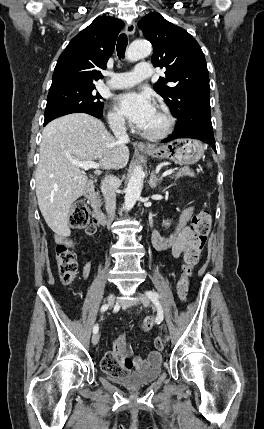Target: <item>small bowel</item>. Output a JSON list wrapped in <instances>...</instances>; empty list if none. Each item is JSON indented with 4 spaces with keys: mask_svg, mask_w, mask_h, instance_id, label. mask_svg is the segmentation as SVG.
<instances>
[{
    "mask_svg": "<svg viewBox=\"0 0 264 429\" xmlns=\"http://www.w3.org/2000/svg\"><path fill=\"white\" fill-rule=\"evenodd\" d=\"M192 213L193 207H186L180 215L177 228L169 234H162L159 231L154 230L151 235L153 246L157 250L169 249L173 257L178 258L185 251L193 238V231L186 225ZM97 226L98 223L94 220L92 224L86 228V234L89 236L94 235L97 231ZM55 240L59 244H65L69 246H76L78 244V241L70 236L69 230L56 234ZM90 272L91 262L88 261L83 268V277L87 278ZM126 348H129V345L124 341L123 338L120 337L114 342L113 348L108 354L119 357L128 372L132 369L143 371L148 367L157 365L161 362V355L159 352L160 350L158 349L151 351L147 359H144L138 356L130 358L129 356L125 355L124 351Z\"/></svg>",
    "mask_w": 264,
    "mask_h": 429,
    "instance_id": "c3829d8e",
    "label": "small bowel"
}]
</instances>
